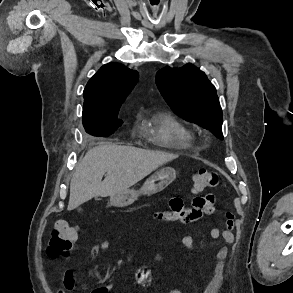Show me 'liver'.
I'll return each mask as SVG.
<instances>
[{"mask_svg": "<svg viewBox=\"0 0 293 293\" xmlns=\"http://www.w3.org/2000/svg\"><path fill=\"white\" fill-rule=\"evenodd\" d=\"M177 157L176 154L112 143L92 148L79 161L71 179L68 210L93 197L123 193L159 166Z\"/></svg>", "mask_w": 293, "mask_h": 293, "instance_id": "obj_1", "label": "liver"}]
</instances>
